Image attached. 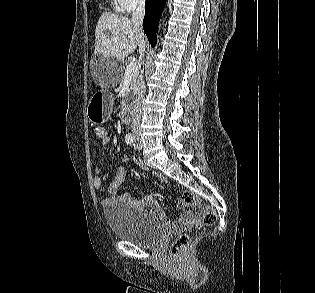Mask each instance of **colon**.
Here are the masks:
<instances>
[{
	"instance_id": "5ec220e1",
	"label": "colon",
	"mask_w": 315,
	"mask_h": 293,
	"mask_svg": "<svg viewBox=\"0 0 315 293\" xmlns=\"http://www.w3.org/2000/svg\"><path fill=\"white\" fill-rule=\"evenodd\" d=\"M94 135L99 139H103L104 137H106L107 131L102 126H96L94 128ZM180 202H182L186 206L199 205L197 196L190 191H185L181 194ZM215 221H216L215 209L212 206H204L202 210V217L200 220L195 222V224L198 227H202L214 224ZM189 240L190 238L188 234L179 233L171 244L170 247L171 256L174 258L179 257L187 247Z\"/></svg>"
}]
</instances>
